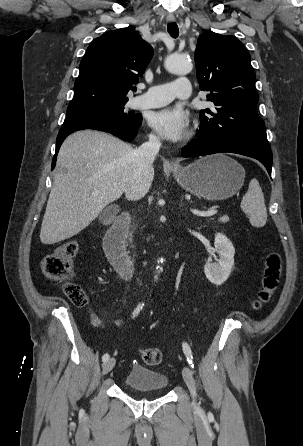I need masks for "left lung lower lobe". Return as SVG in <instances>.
Instances as JSON below:
<instances>
[{
	"label": "left lung lower lobe",
	"mask_w": 303,
	"mask_h": 446,
	"mask_svg": "<svg viewBox=\"0 0 303 446\" xmlns=\"http://www.w3.org/2000/svg\"><path fill=\"white\" fill-rule=\"evenodd\" d=\"M197 139L182 149L183 157H197L214 153L230 152L259 160L271 175L272 151L269 144L235 140L228 137L215 139L198 134Z\"/></svg>",
	"instance_id": "left-lung-lower-lobe-1"
}]
</instances>
